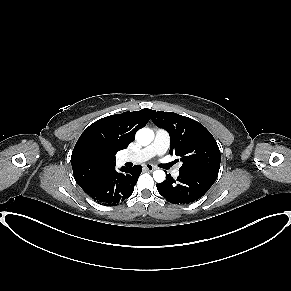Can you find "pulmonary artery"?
I'll use <instances>...</instances> for the list:
<instances>
[{
    "label": "pulmonary artery",
    "instance_id": "obj_1",
    "mask_svg": "<svg viewBox=\"0 0 291 291\" xmlns=\"http://www.w3.org/2000/svg\"><path fill=\"white\" fill-rule=\"evenodd\" d=\"M170 137L167 131L163 129H156L155 136L151 144L136 151L134 153L126 154L121 157L122 162L140 163L151 159L154 156H161L166 153L169 148ZM180 174V166H176L172 175L178 177Z\"/></svg>",
    "mask_w": 291,
    "mask_h": 291
}]
</instances>
